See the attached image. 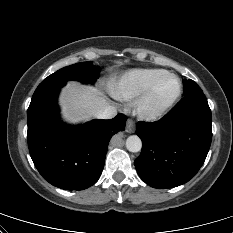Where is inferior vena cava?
Wrapping results in <instances>:
<instances>
[{
  "mask_svg": "<svg viewBox=\"0 0 233 233\" xmlns=\"http://www.w3.org/2000/svg\"><path fill=\"white\" fill-rule=\"evenodd\" d=\"M117 115V109L115 106L108 103L104 104L99 110L96 111L94 116L97 119H111Z\"/></svg>",
  "mask_w": 233,
  "mask_h": 233,
  "instance_id": "obj_1",
  "label": "inferior vena cava"
}]
</instances>
